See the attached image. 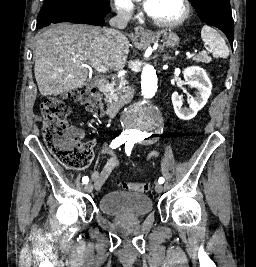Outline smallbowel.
Returning <instances> with one entry per match:
<instances>
[{
  "mask_svg": "<svg viewBox=\"0 0 256 267\" xmlns=\"http://www.w3.org/2000/svg\"><path fill=\"white\" fill-rule=\"evenodd\" d=\"M102 152L108 156L106 164L103 166L101 170L94 171L92 173V180L94 181L95 188L99 190L103 184L107 181L111 173L119 166L120 160L117 154L109 149L104 147ZM157 152L153 151L150 153L149 157H156Z\"/></svg>",
  "mask_w": 256,
  "mask_h": 267,
  "instance_id": "obj_1",
  "label": "small bowel"
}]
</instances>
